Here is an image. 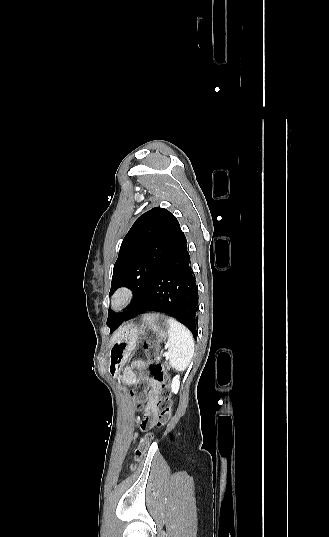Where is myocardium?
Returning a JSON list of instances; mask_svg holds the SVG:
<instances>
[{
	"instance_id": "myocardium-1",
	"label": "myocardium",
	"mask_w": 329,
	"mask_h": 537,
	"mask_svg": "<svg viewBox=\"0 0 329 537\" xmlns=\"http://www.w3.org/2000/svg\"><path fill=\"white\" fill-rule=\"evenodd\" d=\"M134 298L133 291L128 287H120L110 297L109 306L113 311L119 312L127 308Z\"/></svg>"
}]
</instances>
